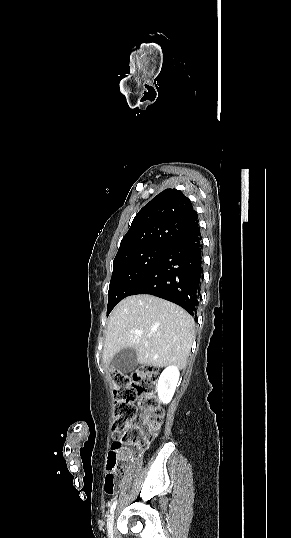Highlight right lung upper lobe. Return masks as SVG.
<instances>
[{"mask_svg": "<svg viewBox=\"0 0 291 538\" xmlns=\"http://www.w3.org/2000/svg\"><path fill=\"white\" fill-rule=\"evenodd\" d=\"M199 230L191 201L180 190L169 188L137 213L117 255L148 245L172 247Z\"/></svg>", "mask_w": 291, "mask_h": 538, "instance_id": "obj_1", "label": "right lung upper lobe"}]
</instances>
